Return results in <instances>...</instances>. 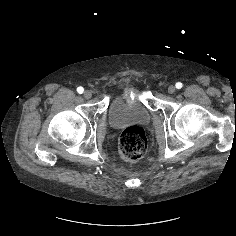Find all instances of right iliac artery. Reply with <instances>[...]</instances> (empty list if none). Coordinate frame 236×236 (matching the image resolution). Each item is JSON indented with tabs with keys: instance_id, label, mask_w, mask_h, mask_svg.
Segmentation results:
<instances>
[{
	"instance_id": "obj_1",
	"label": "right iliac artery",
	"mask_w": 236,
	"mask_h": 236,
	"mask_svg": "<svg viewBox=\"0 0 236 236\" xmlns=\"http://www.w3.org/2000/svg\"><path fill=\"white\" fill-rule=\"evenodd\" d=\"M77 92H78L79 94H82V93L84 92L83 87H78V88H77Z\"/></svg>"
}]
</instances>
